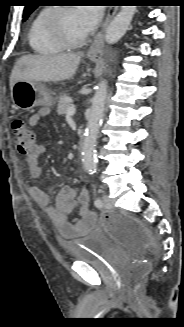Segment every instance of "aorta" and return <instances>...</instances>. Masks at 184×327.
Wrapping results in <instances>:
<instances>
[{
    "label": "aorta",
    "instance_id": "aorta-1",
    "mask_svg": "<svg viewBox=\"0 0 184 327\" xmlns=\"http://www.w3.org/2000/svg\"><path fill=\"white\" fill-rule=\"evenodd\" d=\"M136 12V6H122L117 16L110 22L106 29L105 41L108 44L117 43L126 33ZM107 96V82L98 84L92 98L91 113L83 142V165L87 172L96 169L95 146L101 121L104 117V107Z\"/></svg>",
    "mask_w": 184,
    "mask_h": 327
}]
</instances>
